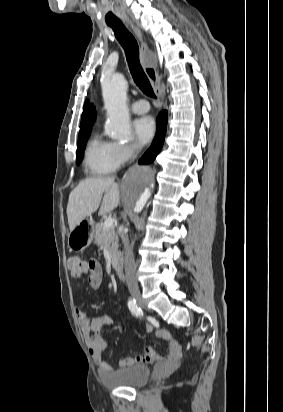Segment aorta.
<instances>
[{"label":"aorta","instance_id":"1","mask_svg":"<svg viewBox=\"0 0 283 412\" xmlns=\"http://www.w3.org/2000/svg\"><path fill=\"white\" fill-rule=\"evenodd\" d=\"M127 80L122 74L107 77L102 83L104 105L108 115L107 134L123 141L130 137V117L126 105ZM152 181L146 169L128 173L123 181L124 196L135 203L134 211L141 212L150 197Z\"/></svg>","mask_w":283,"mask_h":412}]
</instances>
